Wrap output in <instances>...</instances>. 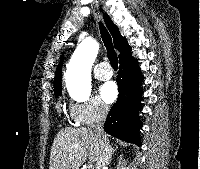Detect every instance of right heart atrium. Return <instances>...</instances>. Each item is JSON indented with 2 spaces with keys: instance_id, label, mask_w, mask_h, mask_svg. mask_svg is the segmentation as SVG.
Listing matches in <instances>:
<instances>
[{
  "instance_id": "obj_1",
  "label": "right heart atrium",
  "mask_w": 200,
  "mask_h": 169,
  "mask_svg": "<svg viewBox=\"0 0 200 169\" xmlns=\"http://www.w3.org/2000/svg\"><path fill=\"white\" fill-rule=\"evenodd\" d=\"M108 112V106L98 97H90L83 102H73L69 107L70 119L80 126L103 120Z\"/></svg>"
}]
</instances>
